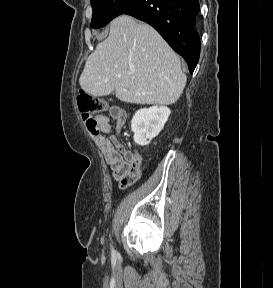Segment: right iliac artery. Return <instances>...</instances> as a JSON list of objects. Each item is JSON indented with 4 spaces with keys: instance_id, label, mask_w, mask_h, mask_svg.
I'll return each mask as SVG.
<instances>
[{
    "instance_id": "82829eb1",
    "label": "right iliac artery",
    "mask_w": 273,
    "mask_h": 288,
    "mask_svg": "<svg viewBox=\"0 0 273 288\" xmlns=\"http://www.w3.org/2000/svg\"><path fill=\"white\" fill-rule=\"evenodd\" d=\"M112 254H115V250L114 249H112Z\"/></svg>"
}]
</instances>
